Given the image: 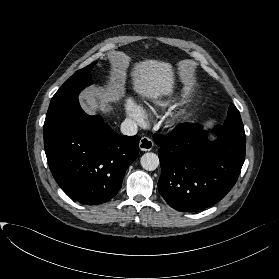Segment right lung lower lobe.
<instances>
[{"instance_id":"right-lung-lower-lobe-1","label":"right lung lower lobe","mask_w":279,"mask_h":279,"mask_svg":"<svg viewBox=\"0 0 279 279\" xmlns=\"http://www.w3.org/2000/svg\"><path fill=\"white\" fill-rule=\"evenodd\" d=\"M43 133L56 182L83 204L111 200L121 188L126 169L139 155V136L117 134L101 116L87 115L78 100L45 122Z\"/></svg>"}]
</instances>
